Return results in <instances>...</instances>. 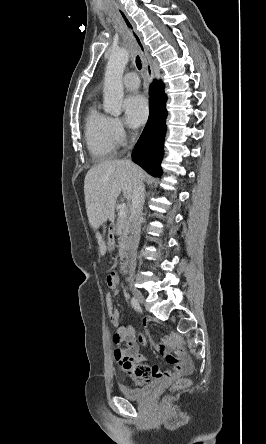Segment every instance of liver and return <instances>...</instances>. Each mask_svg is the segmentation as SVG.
I'll list each match as a JSON object with an SVG mask.
<instances>
[{
    "label": "liver",
    "instance_id": "1",
    "mask_svg": "<svg viewBox=\"0 0 266 444\" xmlns=\"http://www.w3.org/2000/svg\"><path fill=\"white\" fill-rule=\"evenodd\" d=\"M143 178L144 171L128 160L105 161L87 172L84 180L86 211L89 223L96 231L102 256L107 246L98 229L107 220L113 221L116 200L121 191L125 198L131 200L137 181Z\"/></svg>",
    "mask_w": 266,
    "mask_h": 444
}]
</instances>
